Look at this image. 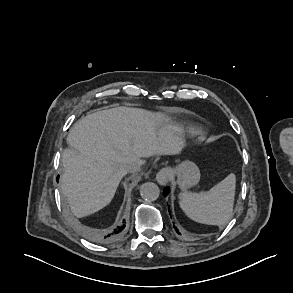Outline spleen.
Segmentation results:
<instances>
[{
	"mask_svg": "<svg viewBox=\"0 0 293 293\" xmlns=\"http://www.w3.org/2000/svg\"><path fill=\"white\" fill-rule=\"evenodd\" d=\"M236 176L230 173L209 191L179 194V204L192 220L208 225L224 226L233 215Z\"/></svg>",
	"mask_w": 293,
	"mask_h": 293,
	"instance_id": "spleen-1",
	"label": "spleen"
}]
</instances>
